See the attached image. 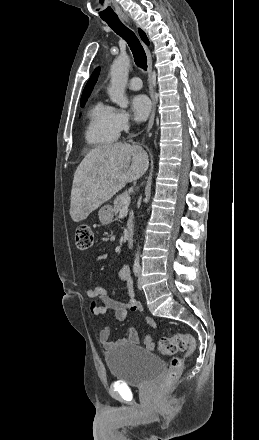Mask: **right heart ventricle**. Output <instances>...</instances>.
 I'll use <instances>...</instances> for the list:
<instances>
[{"mask_svg": "<svg viewBox=\"0 0 259 440\" xmlns=\"http://www.w3.org/2000/svg\"><path fill=\"white\" fill-rule=\"evenodd\" d=\"M114 109L101 101L95 102L87 113L85 140L94 147L114 143L119 133L113 121Z\"/></svg>", "mask_w": 259, "mask_h": 440, "instance_id": "obj_1", "label": "right heart ventricle"}]
</instances>
